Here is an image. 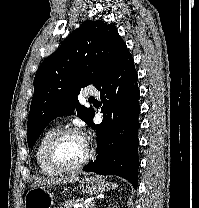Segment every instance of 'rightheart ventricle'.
Returning <instances> with one entry per match:
<instances>
[{
  "label": "right heart ventricle",
  "mask_w": 199,
  "mask_h": 208,
  "mask_svg": "<svg viewBox=\"0 0 199 208\" xmlns=\"http://www.w3.org/2000/svg\"><path fill=\"white\" fill-rule=\"evenodd\" d=\"M61 129L59 125H53L48 127L41 135L36 148V161L38 167L44 175L53 176L59 172L54 170L48 163L46 158V148L50 139Z\"/></svg>",
  "instance_id": "1"
}]
</instances>
